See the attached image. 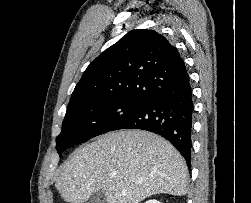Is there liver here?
Masks as SVG:
<instances>
[{
	"instance_id": "1",
	"label": "liver",
	"mask_w": 251,
	"mask_h": 203,
	"mask_svg": "<svg viewBox=\"0 0 251 203\" xmlns=\"http://www.w3.org/2000/svg\"><path fill=\"white\" fill-rule=\"evenodd\" d=\"M187 179L186 163L170 142L146 131L120 130L76 149L55 186L67 203H84L98 191L107 203H139L155 194L183 196Z\"/></svg>"
}]
</instances>
